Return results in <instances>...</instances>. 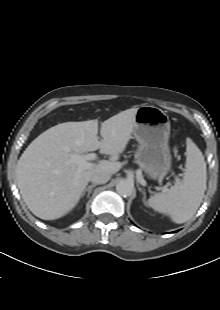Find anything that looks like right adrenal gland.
Wrapping results in <instances>:
<instances>
[{
  "mask_svg": "<svg viewBox=\"0 0 220 310\" xmlns=\"http://www.w3.org/2000/svg\"><path fill=\"white\" fill-rule=\"evenodd\" d=\"M94 187H96V184H92V185L88 186L87 188H85L84 191L82 192L81 197H83V196L85 195V193L88 192L87 198H89V197H90V194H91V191H92V189H93Z\"/></svg>",
  "mask_w": 220,
  "mask_h": 310,
  "instance_id": "2a0ac1e0",
  "label": "right adrenal gland"
}]
</instances>
